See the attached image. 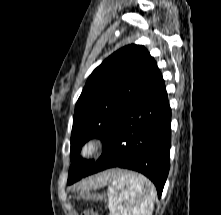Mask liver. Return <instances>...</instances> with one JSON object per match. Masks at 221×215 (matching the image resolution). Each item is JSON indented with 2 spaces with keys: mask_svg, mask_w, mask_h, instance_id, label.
I'll use <instances>...</instances> for the list:
<instances>
[{
  "mask_svg": "<svg viewBox=\"0 0 221 215\" xmlns=\"http://www.w3.org/2000/svg\"><path fill=\"white\" fill-rule=\"evenodd\" d=\"M117 173V171H106L100 174H97L95 176H92L86 180H83L79 187L85 190H89L92 188H97L106 185L107 183H110L113 176Z\"/></svg>",
  "mask_w": 221,
  "mask_h": 215,
  "instance_id": "1",
  "label": "liver"
}]
</instances>
